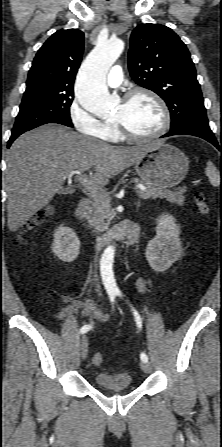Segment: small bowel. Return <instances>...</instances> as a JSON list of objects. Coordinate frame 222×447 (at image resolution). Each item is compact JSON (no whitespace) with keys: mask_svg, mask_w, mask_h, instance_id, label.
Segmentation results:
<instances>
[{"mask_svg":"<svg viewBox=\"0 0 222 447\" xmlns=\"http://www.w3.org/2000/svg\"><path fill=\"white\" fill-rule=\"evenodd\" d=\"M148 284L149 281L146 278H140L137 282V288L139 291L143 292ZM62 302L68 304V306L64 310L54 313L56 319L62 320L69 315L78 313L94 320L104 321L108 319V315L102 312L93 298L73 299L71 297H64Z\"/></svg>","mask_w":222,"mask_h":447,"instance_id":"small-bowel-1","label":"small bowel"}]
</instances>
